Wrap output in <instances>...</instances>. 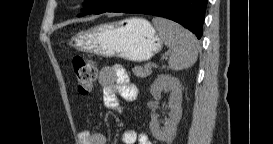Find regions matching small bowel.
<instances>
[{"label":"small bowel","mask_w":273,"mask_h":144,"mask_svg":"<svg viewBox=\"0 0 273 144\" xmlns=\"http://www.w3.org/2000/svg\"><path fill=\"white\" fill-rule=\"evenodd\" d=\"M99 82L104 91L105 105L110 109H119V100L134 101L137 91L131 83L127 72L120 66L103 67L99 73ZM121 140L124 144H151L147 135L135 129L122 132ZM79 144H106L107 137L102 132L84 130L78 133Z\"/></svg>","instance_id":"1"}]
</instances>
